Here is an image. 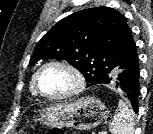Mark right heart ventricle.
<instances>
[{"mask_svg": "<svg viewBox=\"0 0 153 134\" xmlns=\"http://www.w3.org/2000/svg\"><path fill=\"white\" fill-rule=\"evenodd\" d=\"M30 91L33 95H37L34 91V88H33V76H32V79H31V82H30Z\"/></svg>", "mask_w": 153, "mask_h": 134, "instance_id": "e07e8e85", "label": "right heart ventricle"}]
</instances>
